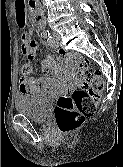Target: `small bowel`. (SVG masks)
I'll list each match as a JSON object with an SVG mask.
<instances>
[{"instance_id":"obj_1","label":"small bowel","mask_w":123,"mask_h":167,"mask_svg":"<svg viewBox=\"0 0 123 167\" xmlns=\"http://www.w3.org/2000/svg\"><path fill=\"white\" fill-rule=\"evenodd\" d=\"M16 5L15 14H17V24L24 26L28 24L26 20L27 13L25 0H14ZM38 26V22H37ZM21 53L22 55L31 58L34 56L38 46L31 41V35L28 32H23L21 35ZM63 53H59L58 58L50 56H44L41 59V68L44 73V77L32 78L30 74L32 72V65L28 62L22 71V76L19 80V93L22 95H34V96H57L63 93L69 87L70 74L68 66L62 65L60 59Z\"/></svg>"}]
</instances>
